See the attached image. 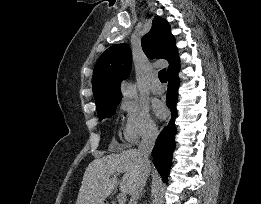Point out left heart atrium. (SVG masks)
<instances>
[{"mask_svg":"<svg viewBox=\"0 0 261 204\" xmlns=\"http://www.w3.org/2000/svg\"><path fill=\"white\" fill-rule=\"evenodd\" d=\"M154 111L159 118H164L167 115V109L161 102L154 103Z\"/></svg>","mask_w":261,"mask_h":204,"instance_id":"left-heart-atrium-1","label":"left heart atrium"}]
</instances>
